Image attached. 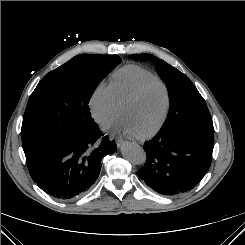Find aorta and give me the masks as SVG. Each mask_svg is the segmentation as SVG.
Returning a JSON list of instances; mask_svg holds the SVG:
<instances>
[{
  "instance_id": "obj_1",
  "label": "aorta",
  "mask_w": 245,
  "mask_h": 245,
  "mask_svg": "<svg viewBox=\"0 0 245 245\" xmlns=\"http://www.w3.org/2000/svg\"><path fill=\"white\" fill-rule=\"evenodd\" d=\"M121 153L123 157L134 165H141L146 161V152L144 149L131 142H125L121 147Z\"/></svg>"
}]
</instances>
